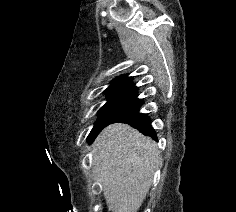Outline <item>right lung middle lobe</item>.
<instances>
[{
  "mask_svg": "<svg viewBox=\"0 0 236 212\" xmlns=\"http://www.w3.org/2000/svg\"><path fill=\"white\" fill-rule=\"evenodd\" d=\"M129 92H120L107 95V102L98 111V120L90 132L87 140L92 141L96 135L105 127L108 120L112 118L117 109L128 98Z\"/></svg>",
  "mask_w": 236,
  "mask_h": 212,
  "instance_id": "1",
  "label": "right lung middle lobe"
}]
</instances>
